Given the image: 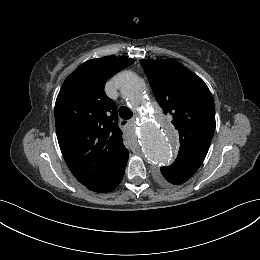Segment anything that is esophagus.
<instances>
[{
    "label": "esophagus",
    "mask_w": 260,
    "mask_h": 260,
    "mask_svg": "<svg viewBox=\"0 0 260 260\" xmlns=\"http://www.w3.org/2000/svg\"><path fill=\"white\" fill-rule=\"evenodd\" d=\"M126 124H127L126 120L120 121V125H121V126H125Z\"/></svg>",
    "instance_id": "obj_1"
}]
</instances>
